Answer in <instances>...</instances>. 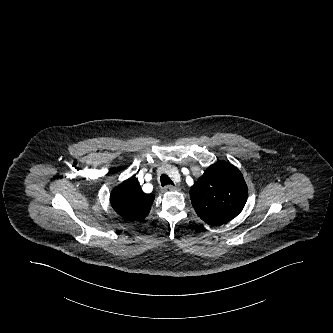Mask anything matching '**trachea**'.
I'll return each instance as SVG.
<instances>
[{
  "label": "trachea",
  "mask_w": 333,
  "mask_h": 333,
  "mask_svg": "<svg viewBox=\"0 0 333 333\" xmlns=\"http://www.w3.org/2000/svg\"><path fill=\"white\" fill-rule=\"evenodd\" d=\"M160 181H161L162 186H165V185H173L174 186L173 181L171 180V178L167 174H162L161 177H160Z\"/></svg>",
  "instance_id": "obj_1"
}]
</instances>
